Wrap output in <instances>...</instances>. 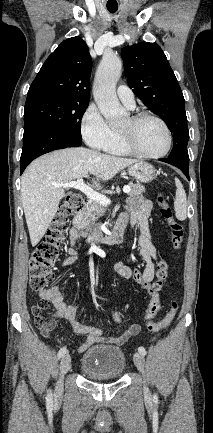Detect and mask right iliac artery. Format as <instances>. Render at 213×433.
Masks as SVG:
<instances>
[{
	"label": "right iliac artery",
	"instance_id": "right-iliac-artery-1",
	"mask_svg": "<svg viewBox=\"0 0 213 433\" xmlns=\"http://www.w3.org/2000/svg\"><path fill=\"white\" fill-rule=\"evenodd\" d=\"M66 353H67L66 347H62L59 350V352H58V358L63 357ZM46 402H47L48 405H51L52 402H53V397H52V393H51L50 390L48 391V394H47V397H46Z\"/></svg>",
	"mask_w": 213,
	"mask_h": 433
}]
</instances>
